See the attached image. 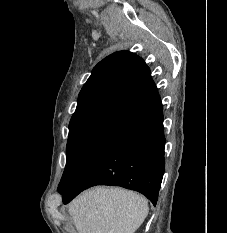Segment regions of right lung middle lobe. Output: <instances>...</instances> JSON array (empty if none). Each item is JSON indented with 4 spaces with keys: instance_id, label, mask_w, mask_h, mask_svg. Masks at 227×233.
<instances>
[{
    "instance_id": "1",
    "label": "right lung middle lobe",
    "mask_w": 227,
    "mask_h": 233,
    "mask_svg": "<svg viewBox=\"0 0 227 233\" xmlns=\"http://www.w3.org/2000/svg\"><path fill=\"white\" fill-rule=\"evenodd\" d=\"M117 136L103 131L69 133L66 167L58 191L70 188L94 158Z\"/></svg>"
}]
</instances>
